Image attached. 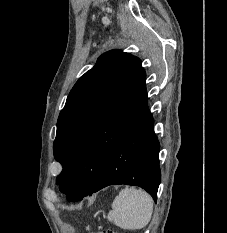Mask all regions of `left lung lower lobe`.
Masks as SVG:
<instances>
[{"mask_svg":"<svg viewBox=\"0 0 227 233\" xmlns=\"http://www.w3.org/2000/svg\"><path fill=\"white\" fill-rule=\"evenodd\" d=\"M153 127L154 120L148 109L116 144L94 189L75 201L106 186L119 184L140 186L156 201L161 180L160 144Z\"/></svg>","mask_w":227,"mask_h":233,"instance_id":"0a47b994","label":"left lung lower lobe"}]
</instances>
